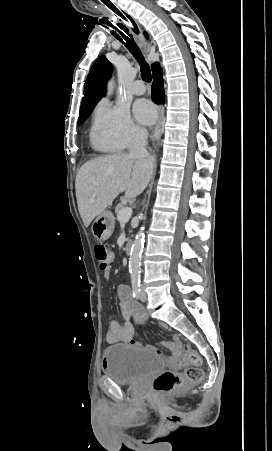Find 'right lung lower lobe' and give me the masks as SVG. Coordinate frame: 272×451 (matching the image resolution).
Masks as SVG:
<instances>
[{"instance_id":"obj_1","label":"right lung lower lobe","mask_w":272,"mask_h":451,"mask_svg":"<svg viewBox=\"0 0 272 451\" xmlns=\"http://www.w3.org/2000/svg\"><path fill=\"white\" fill-rule=\"evenodd\" d=\"M153 84H152V97L154 102L163 103L164 102V88H163V78L162 69L158 63L152 68Z\"/></svg>"}]
</instances>
